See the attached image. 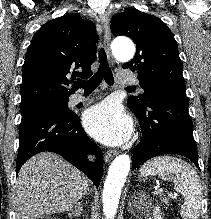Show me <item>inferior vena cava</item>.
Listing matches in <instances>:
<instances>
[{"label":"inferior vena cava","instance_id":"602c4592","mask_svg":"<svg viewBox=\"0 0 211 219\" xmlns=\"http://www.w3.org/2000/svg\"><path fill=\"white\" fill-rule=\"evenodd\" d=\"M88 158H89L90 160H94V157H92V156H89Z\"/></svg>","mask_w":211,"mask_h":219}]
</instances>
